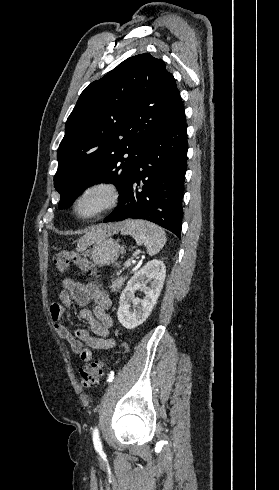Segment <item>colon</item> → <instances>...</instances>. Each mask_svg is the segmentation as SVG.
Returning a JSON list of instances; mask_svg holds the SVG:
<instances>
[{
    "label": "colon",
    "instance_id": "colon-1",
    "mask_svg": "<svg viewBox=\"0 0 279 490\" xmlns=\"http://www.w3.org/2000/svg\"><path fill=\"white\" fill-rule=\"evenodd\" d=\"M55 268L60 271L66 270L70 266L78 268L82 273L87 275L96 274L95 265L84 255L74 250H63L53 257ZM107 361L95 359L91 361L80 372V382L83 388H93L97 385L99 377L104 373Z\"/></svg>",
    "mask_w": 279,
    "mask_h": 490
}]
</instances>
